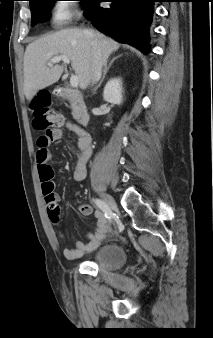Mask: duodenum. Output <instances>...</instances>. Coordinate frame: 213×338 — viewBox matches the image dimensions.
Segmentation results:
<instances>
[{
	"mask_svg": "<svg viewBox=\"0 0 213 338\" xmlns=\"http://www.w3.org/2000/svg\"><path fill=\"white\" fill-rule=\"evenodd\" d=\"M55 95L57 98L66 99L71 103L74 116L80 125L88 126L90 124L91 116L78 92L68 88H61L55 90Z\"/></svg>",
	"mask_w": 213,
	"mask_h": 338,
	"instance_id": "obj_1",
	"label": "duodenum"
}]
</instances>
